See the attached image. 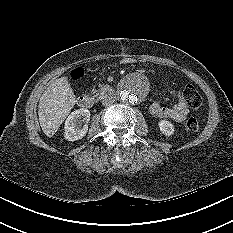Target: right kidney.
<instances>
[{"instance_id":"1","label":"right kidney","mask_w":233,"mask_h":233,"mask_svg":"<svg viewBox=\"0 0 233 233\" xmlns=\"http://www.w3.org/2000/svg\"><path fill=\"white\" fill-rule=\"evenodd\" d=\"M81 118H83L81 120ZM90 120V112L86 108H80L73 111L65 121L64 138L68 141H75L83 138L88 132V125L85 124L81 128L82 122L88 123Z\"/></svg>"}]
</instances>
